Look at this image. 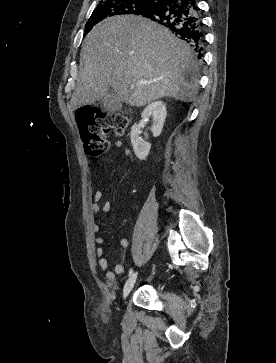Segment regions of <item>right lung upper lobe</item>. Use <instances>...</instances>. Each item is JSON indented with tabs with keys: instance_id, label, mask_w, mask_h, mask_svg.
Instances as JSON below:
<instances>
[{
	"instance_id": "cb5924a9",
	"label": "right lung upper lobe",
	"mask_w": 276,
	"mask_h": 363,
	"mask_svg": "<svg viewBox=\"0 0 276 363\" xmlns=\"http://www.w3.org/2000/svg\"><path fill=\"white\" fill-rule=\"evenodd\" d=\"M152 1H154V3H156L158 0H152Z\"/></svg>"
}]
</instances>
